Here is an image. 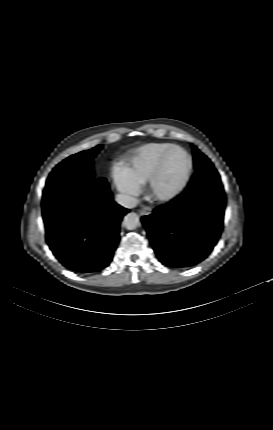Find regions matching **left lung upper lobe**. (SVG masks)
Here are the masks:
<instances>
[{"mask_svg": "<svg viewBox=\"0 0 273 430\" xmlns=\"http://www.w3.org/2000/svg\"><path fill=\"white\" fill-rule=\"evenodd\" d=\"M193 157L196 171L214 167L213 163L196 146H193Z\"/></svg>", "mask_w": 273, "mask_h": 430, "instance_id": "obj_1", "label": "left lung upper lobe"}]
</instances>
